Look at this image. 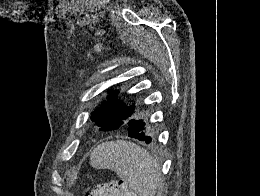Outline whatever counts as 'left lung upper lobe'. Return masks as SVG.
Masks as SVG:
<instances>
[{"label":"left lung upper lobe","instance_id":"1","mask_svg":"<svg viewBox=\"0 0 260 196\" xmlns=\"http://www.w3.org/2000/svg\"><path fill=\"white\" fill-rule=\"evenodd\" d=\"M116 93H117V91L112 93V95H114ZM122 106H123V104L120 101H118L116 103H114V102L108 103V104L104 105L103 107L96 109L91 115V120L100 127V131H111V130H116V129H124V128L128 127V125L131 121L144 123L148 129L150 127H152V124L149 122L150 113L144 107H139V108H135L134 106L127 107V108H130L133 111V113L131 114V116L128 119H126L125 121H122L120 123L119 122L118 123H104L101 121L102 115L105 112H107L110 108L122 107ZM124 107H126V106H124ZM152 135H153V139H155L156 134L153 133Z\"/></svg>","mask_w":260,"mask_h":196}]
</instances>
